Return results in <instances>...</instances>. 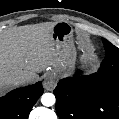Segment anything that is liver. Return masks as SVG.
Segmentation results:
<instances>
[{
	"label": "liver",
	"mask_w": 119,
	"mask_h": 119,
	"mask_svg": "<svg viewBox=\"0 0 119 119\" xmlns=\"http://www.w3.org/2000/svg\"><path fill=\"white\" fill-rule=\"evenodd\" d=\"M56 23L46 22L0 35V93L13 87L21 75L37 79L38 72L53 65L57 58L52 29Z\"/></svg>",
	"instance_id": "1"
}]
</instances>
